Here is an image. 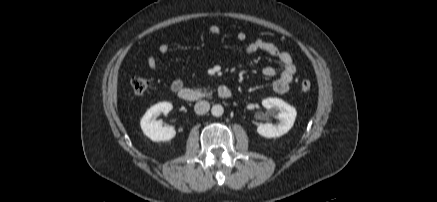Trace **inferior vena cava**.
I'll return each instance as SVG.
<instances>
[{"label":"inferior vena cava","mask_w":437,"mask_h":202,"mask_svg":"<svg viewBox=\"0 0 437 202\" xmlns=\"http://www.w3.org/2000/svg\"><path fill=\"white\" fill-rule=\"evenodd\" d=\"M210 109V104L208 101H199L194 106V111L198 115L206 114Z\"/></svg>","instance_id":"602c4592"}]
</instances>
